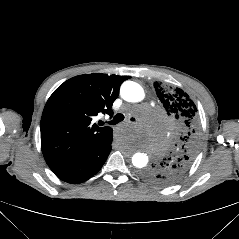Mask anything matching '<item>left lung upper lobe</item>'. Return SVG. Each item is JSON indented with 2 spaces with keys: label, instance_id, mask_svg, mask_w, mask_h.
I'll return each instance as SVG.
<instances>
[{
  "label": "left lung upper lobe",
  "instance_id": "obj_1",
  "mask_svg": "<svg viewBox=\"0 0 239 239\" xmlns=\"http://www.w3.org/2000/svg\"><path fill=\"white\" fill-rule=\"evenodd\" d=\"M154 87L178 134L170 155L144 171L143 177L152 184L168 186L180 180L194 160L200 142L199 119L196 105L182 89L158 82Z\"/></svg>",
  "mask_w": 239,
  "mask_h": 239
}]
</instances>
